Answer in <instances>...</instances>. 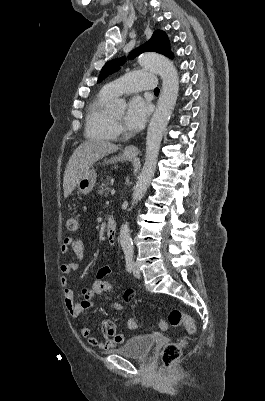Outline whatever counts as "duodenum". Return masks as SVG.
<instances>
[{"instance_id":"obj_1","label":"duodenum","mask_w":265,"mask_h":401,"mask_svg":"<svg viewBox=\"0 0 265 401\" xmlns=\"http://www.w3.org/2000/svg\"><path fill=\"white\" fill-rule=\"evenodd\" d=\"M116 235H117L116 222L112 217H109L106 226V238L108 243L112 246L116 243Z\"/></svg>"}]
</instances>
